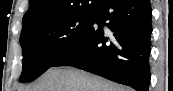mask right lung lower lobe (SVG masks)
I'll use <instances>...</instances> for the list:
<instances>
[{
	"mask_svg": "<svg viewBox=\"0 0 173 91\" xmlns=\"http://www.w3.org/2000/svg\"><path fill=\"white\" fill-rule=\"evenodd\" d=\"M151 17L149 0H98L86 33L52 67L72 66L148 91Z\"/></svg>",
	"mask_w": 173,
	"mask_h": 91,
	"instance_id": "98d812e1",
	"label": "right lung lower lobe"
}]
</instances>
